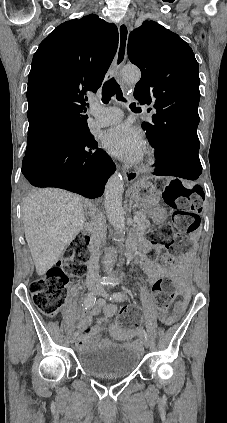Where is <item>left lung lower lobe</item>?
Masks as SVG:
<instances>
[{"mask_svg":"<svg viewBox=\"0 0 227 423\" xmlns=\"http://www.w3.org/2000/svg\"><path fill=\"white\" fill-rule=\"evenodd\" d=\"M198 122L184 120L167 131H155L149 138L157 155L155 175L178 176L196 180L202 173L198 156Z\"/></svg>","mask_w":227,"mask_h":423,"instance_id":"left-lung-lower-lobe-1","label":"left lung lower lobe"}]
</instances>
